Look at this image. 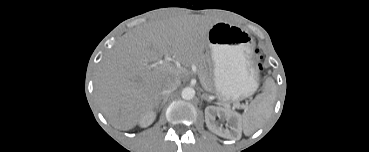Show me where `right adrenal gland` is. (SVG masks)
Here are the masks:
<instances>
[{
	"instance_id": "1",
	"label": "right adrenal gland",
	"mask_w": 369,
	"mask_h": 152,
	"mask_svg": "<svg viewBox=\"0 0 369 152\" xmlns=\"http://www.w3.org/2000/svg\"><path fill=\"white\" fill-rule=\"evenodd\" d=\"M167 100H168V96L161 97V99H160L159 103L157 104L156 108H158L159 105H160V108H162L165 105V103L167 102Z\"/></svg>"
}]
</instances>
